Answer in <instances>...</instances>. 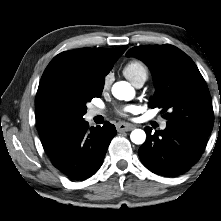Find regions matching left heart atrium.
<instances>
[{
    "label": "left heart atrium",
    "mask_w": 221,
    "mask_h": 221,
    "mask_svg": "<svg viewBox=\"0 0 221 221\" xmlns=\"http://www.w3.org/2000/svg\"><path fill=\"white\" fill-rule=\"evenodd\" d=\"M133 109V107H126L125 109H124V112H129V111H131ZM124 112H122V114H124Z\"/></svg>",
    "instance_id": "39dd6f15"
}]
</instances>
